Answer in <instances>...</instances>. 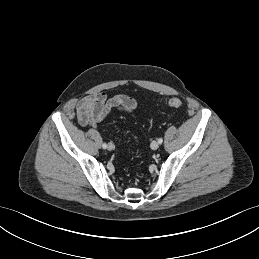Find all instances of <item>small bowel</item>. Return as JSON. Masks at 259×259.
<instances>
[{
	"label": "small bowel",
	"instance_id": "obj_1",
	"mask_svg": "<svg viewBox=\"0 0 259 259\" xmlns=\"http://www.w3.org/2000/svg\"><path fill=\"white\" fill-rule=\"evenodd\" d=\"M115 109L133 114L136 101L124 94H117L111 98H107L104 93L86 96L77 104L78 121L84 127L98 126Z\"/></svg>",
	"mask_w": 259,
	"mask_h": 259
}]
</instances>
